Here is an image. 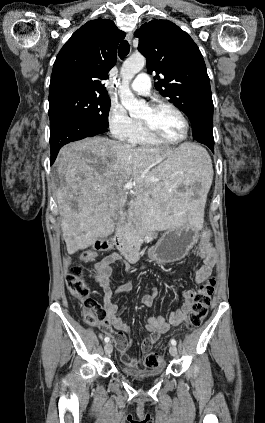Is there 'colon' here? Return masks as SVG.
<instances>
[{
    "instance_id": "5ec220e1",
    "label": "colon",
    "mask_w": 265,
    "mask_h": 423,
    "mask_svg": "<svg viewBox=\"0 0 265 423\" xmlns=\"http://www.w3.org/2000/svg\"><path fill=\"white\" fill-rule=\"evenodd\" d=\"M209 236V232L203 233L201 247L208 245ZM110 248L111 242L109 240L97 241L93 247L83 255V260L90 261L98 252L107 251ZM84 273L82 264L77 262L69 264L66 275L68 290L75 298L82 301L84 306L83 318L88 325H100L101 328L106 327L107 313L97 306L95 300L90 295L89 288L84 280ZM215 286L216 280L214 277L207 278L200 286L195 296V302L191 313L184 325L186 330H192L199 327L205 319ZM162 362L163 358L160 352H150L139 367L154 369L161 366Z\"/></svg>"
}]
</instances>
